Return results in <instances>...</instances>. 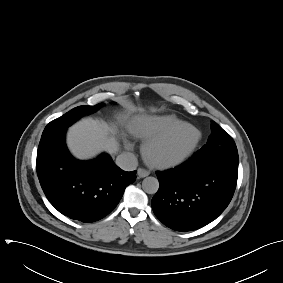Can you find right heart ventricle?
<instances>
[{"mask_svg": "<svg viewBox=\"0 0 283 283\" xmlns=\"http://www.w3.org/2000/svg\"><path fill=\"white\" fill-rule=\"evenodd\" d=\"M181 123L183 121L173 115L148 117L140 121L132 133L138 138L150 140L161 136Z\"/></svg>", "mask_w": 283, "mask_h": 283, "instance_id": "right-heart-ventricle-1", "label": "right heart ventricle"}]
</instances>
